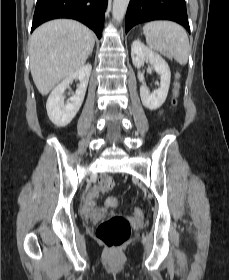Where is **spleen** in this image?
Instances as JSON below:
<instances>
[{"mask_svg":"<svg viewBox=\"0 0 229 280\" xmlns=\"http://www.w3.org/2000/svg\"><path fill=\"white\" fill-rule=\"evenodd\" d=\"M143 31L151 49L170 54L181 65L187 63L190 45L183 27L171 21H152L144 25Z\"/></svg>","mask_w":229,"mask_h":280,"instance_id":"spleen-1","label":"spleen"}]
</instances>
